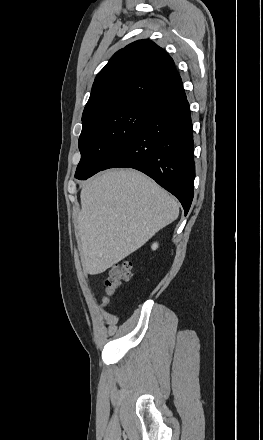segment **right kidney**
Wrapping results in <instances>:
<instances>
[{
	"mask_svg": "<svg viewBox=\"0 0 263 440\" xmlns=\"http://www.w3.org/2000/svg\"><path fill=\"white\" fill-rule=\"evenodd\" d=\"M158 248V244L157 243H154L153 245H152V249L153 250H156Z\"/></svg>",
	"mask_w": 263,
	"mask_h": 440,
	"instance_id": "obj_1",
	"label": "right kidney"
}]
</instances>
